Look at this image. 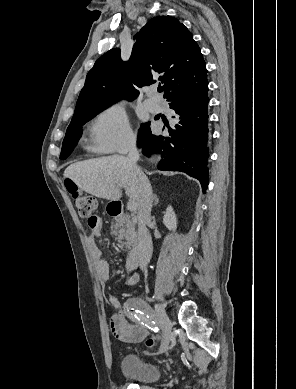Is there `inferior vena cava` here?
<instances>
[{
    "mask_svg": "<svg viewBox=\"0 0 296 389\" xmlns=\"http://www.w3.org/2000/svg\"><path fill=\"white\" fill-rule=\"evenodd\" d=\"M139 153L136 148V138L133 137L128 145V160L129 164L134 168L139 180L140 200L138 204L137 220H138V237L145 250L140 260L141 269L146 268L152 254V240L146 223L150 218L152 209V188L146 175L137 166Z\"/></svg>",
    "mask_w": 296,
    "mask_h": 389,
    "instance_id": "1",
    "label": "inferior vena cava"
}]
</instances>
